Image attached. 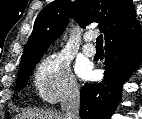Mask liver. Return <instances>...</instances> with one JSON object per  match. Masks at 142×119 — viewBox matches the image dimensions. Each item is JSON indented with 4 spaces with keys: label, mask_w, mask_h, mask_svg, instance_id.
I'll return each mask as SVG.
<instances>
[{
    "label": "liver",
    "mask_w": 142,
    "mask_h": 119,
    "mask_svg": "<svg viewBox=\"0 0 142 119\" xmlns=\"http://www.w3.org/2000/svg\"><path fill=\"white\" fill-rule=\"evenodd\" d=\"M21 117L24 119H64L63 115L44 110H31L24 113Z\"/></svg>",
    "instance_id": "obj_1"
}]
</instances>
